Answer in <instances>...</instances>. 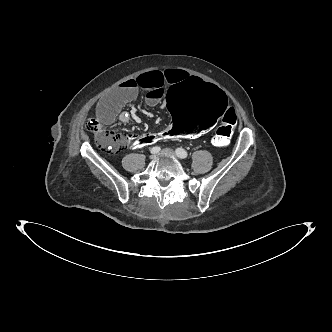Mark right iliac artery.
<instances>
[{"label": "right iliac artery", "instance_id": "82829eb1", "mask_svg": "<svg viewBox=\"0 0 332 332\" xmlns=\"http://www.w3.org/2000/svg\"><path fill=\"white\" fill-rule=\"evenodd\" d=\"M160 150H161L160 147L155 146V147L151 148L150 152H151L152 154H157V153H159Z\"/></svg>", "mask_w": 332, "mask_h": 332}]
</instances>
